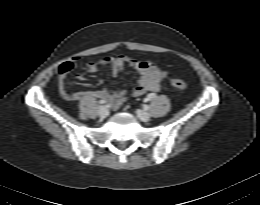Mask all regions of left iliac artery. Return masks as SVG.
<instances>
[{
    "mask_svg": "<svg viewBox=\"0 0 260 205\" xmlns=\"http://www.w3.org/2000/svg\"><path fill=\"white\" fill-rule=\"evenodd\" d=\"M149 106L148 105H144V110H148Z\"/></svg>",
    "mask_w": 260,
    "mask_h": 205,
    "instance_id": "44dca946",
    "label": "left iliac artery"
}]
</instances>
